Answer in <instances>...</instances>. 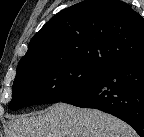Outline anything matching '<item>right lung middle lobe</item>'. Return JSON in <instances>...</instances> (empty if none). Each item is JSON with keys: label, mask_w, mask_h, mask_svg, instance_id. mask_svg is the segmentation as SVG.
Masks as SVG:
<instances>
[{"label": "right lung middle lobe", "mask_w": 144, "mask_h": 137, "mask_svg": "<svg viewBox=\"0 0 144 137\" xmlns=\"http://www.w3.org/2000/svg\"><path fill=\"white\" fill-rule=\"evenodd\" d=\"M106 71L73 60L17 67L9 108L18 110L26 105L62 101L82 90Z\"/></svg>", "instance_id": "right-lung-middle-lobe-1"}]
</instances>
